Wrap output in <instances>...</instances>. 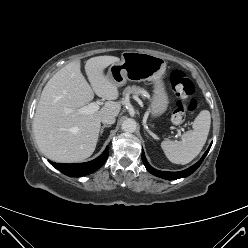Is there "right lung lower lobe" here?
Segmentation results:
<instances>
[{
	"instance_id": "obj_1",
	"label": "right lung lower lobe",
	"mask_w": 248,
	"mask_h": 248,
	"mask_svg": "<svg viewBox=\"0 0 248 248\" xmlns=\"http://www.w3.org/2000/svg\"><path fill=\"white\" fill-rule=\"evenodd\" d=\"M109 154V147L107 146L104 152L97 157L96 159L85 162V163H76V164H57L50 162L56 169L60 170L63 174L70 177H79L93 173L99 169L104 162L106 161Z\"/></svg>"
}]
</instances>
